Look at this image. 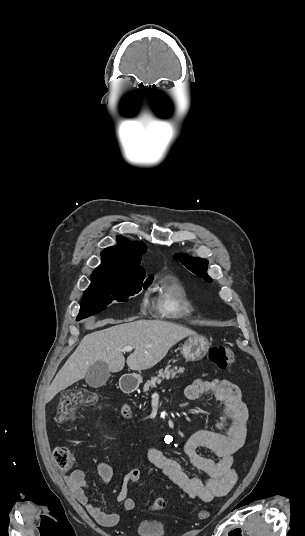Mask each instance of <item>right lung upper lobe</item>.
I'll return each mask as SVG.
<instances>
[{"mask_svg":"<svg viewBox=\"0 0 305 536\" xmlns=\"http://www.w3.org/2000/svg\"><path fill=\"white\" fill-rule=\"evenodd\" d=\"M119 245L101 252L102 262L92 274L93 280L144 279L145 270L139 266L146 246L118 237Z\"/></svg>","mask_w":305,"mask_h":536,"instance_id":"right-lung-upper-lobe-1","label":"right lung upper lobe"}]
</instances>
